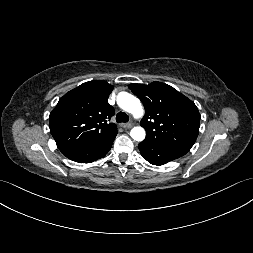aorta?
<instances>
[{
	"instance_id": "1",
	"label": "aorta",
	"mask_w": 253,
	"mask_h": 253,
	"mask_svg": "<svg viewBox=\"0 0 253 253\" xmlns=\"http://www.w3.org/2000/svg\"><path fill=\"white\" fill-rule=\"evenodd\" d=\"M117 104L126 112L131 113L135 118H139L143 115V107L140 100L127 92H120L118 94ZM130 135L136 141H143L146 133L145 130L139 126L132 128Z\"/></svg>"
}]
</instances>
